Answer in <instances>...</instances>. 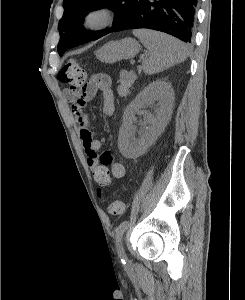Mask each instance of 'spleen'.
Here are the masks:
<instances>
[{
	"label": "spleen",
	"instance_id": "3e777b00",
	"mask_svg": "<svg viewBox=\"0 0 245 300\" xmlns=\"http://www.w3.org/2000/svg\"><path fill=\"white\" fill-rule=\"evenodd\" d=\"M133 34L150 51L143 63L147 74L159 73L187 58L185 45L174 37L147 29L134 30Z\"/></svg>",
	"mask_w": 245,
	"mask_h": 300
}]
</instances>
